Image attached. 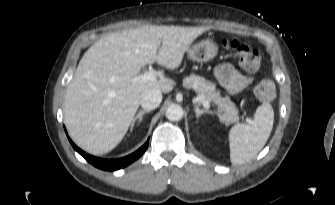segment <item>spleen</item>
Segmentation results:
<instances>
[{"mask_svg": "<svg viewBox=\"0 0 335 205\" xmlns=\"http://www.w3.org/2000/svg\"><path fill=\"white\" fill-rule=\"evenodd\" d=\"M274 123V111L264 103L256 109L251 124L239 123L229 131L230 161L233 165L252 160L266 144Z\"/></svg>", "mask_w": 335, "mask_h": 205, "instance_id": "1", "label": "spleen"}]
</instances>
